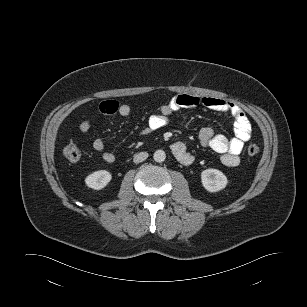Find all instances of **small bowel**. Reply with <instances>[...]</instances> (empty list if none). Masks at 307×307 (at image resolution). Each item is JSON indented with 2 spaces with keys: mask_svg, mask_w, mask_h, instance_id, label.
Returning <instances> with one entry per match:
<instances>
[{
  "mask_svg": "<svg viewBox=\"0 0 307 307\" xmlns=\"http://www.w3.org/2000/svg\"><path fill=\"white\" fill-rule=\"evenodd\" d=\"M199 105L214 111L228 113L234 118L235 136L233 138H228L223 134H215L211 127H204L199 132V142L201 146L209 147L221 154V161L224 165L228 167L237 166L240 162L239 155L244 143L250 139L252 130L245 112L238 105L230 101L215 97H199L191 94L176 95L149 117L147 127L143 133H150L166 126L174 112L182 108H191ZM99 108L105 115L119 114L120 116L127 117L132 113L130 105L119 104L114 100L101 102ZM91 126V120H83L79 125V131L81 134L87 135ZM92 147L95 151L101 153V157L105 162L113 163L115 161L113 153L104 151L105 145L101 139L93 140ZM171 150L177 160L183 165H190L194 160L193 154L189 151L188 145L184 141L173 143Z\"/></svg>",
  "mask_w": 307,
  "mask_h": 307,
  "instance_id": "small-bowel-1",
  "label": "small bowel"
}]
</instances>
